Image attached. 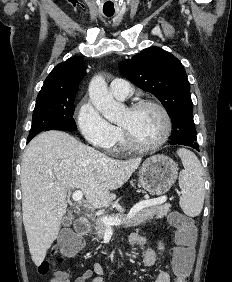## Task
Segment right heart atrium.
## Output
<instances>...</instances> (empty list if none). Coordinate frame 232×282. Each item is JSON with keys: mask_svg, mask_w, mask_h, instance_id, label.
<instances>
[{"mask_svg": "<svg viewBox=\"0 0 232 282\" xmlns=\"http://www.w3.org/2000/svg\"><path fill=\"white\" fill-rule=\"evenodd\" d=\"M77 126L88 143L110 151L117 141V129L109 123L87 99L81 100L76 111Z\"/></svg>", "mask_w": 232, "mask_h": 282, "instance_id": "right-heart-atrium-1", "label": "right heart atrium"}]
</instances>
